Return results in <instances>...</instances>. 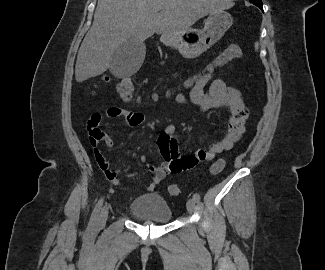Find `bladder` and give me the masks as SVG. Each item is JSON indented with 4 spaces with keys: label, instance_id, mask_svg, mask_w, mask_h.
<instances>
[{
    "label": "bladder",
    "instance_id": "1",
    "mask_svg": "<svg viewBox=\"0 0 325 270\" xmlns=\"http://www.w3.org/2000/svg\"><path fill=\"white\" fill-rule=\"evenodd\" d=\"M130 214L143 221L168 223L173 212L168 202L159 194H144L135 197L129 206Z\"/></svg>",
    "mask_w": 325,
    "mask_h": 270
}]
</instances>
